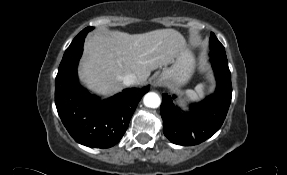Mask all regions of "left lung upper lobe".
Masks as SVG:
<instances>
[{"label": "left lung upper lobe", "instance_id": "1", "mask_svg": "<svg viewBox=\"0 0 287 175\" xmlns=\"http://www.w3.org/2000/svg\"><path fill=\"white\" fill-rule=\"evenodd\" d=\"M210 56L222 58L227 60L225 49L223 45L216 38L214 33H211L210 38Z\"/></svg>", "mask_w": 287, "mask_h": 175}]
</instances>
